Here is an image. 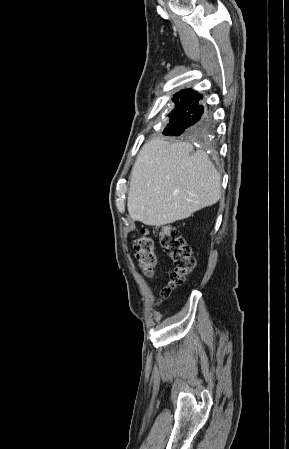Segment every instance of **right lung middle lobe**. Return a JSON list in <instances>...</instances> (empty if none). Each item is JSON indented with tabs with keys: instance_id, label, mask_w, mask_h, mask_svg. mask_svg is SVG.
Listing matches in <instances>:
<instances>
[{
	"instance_id": "obj_1",
	"label": "right lung middle lobe",
	"mask_w": 289,
	"mask_h": 449,
	"mask_svg": "<svg viewBox=\"0 0 289 449\" xmlns=\"http://www.w3.org/2000/svg\"><path fill=\"white\" fill-rule=\"evenodd\" d=\"M170 117H171V113L169 114V118H170ZM163 134H164V135H172V134L169 133L168 127H166V128L164 129ZM173 136H174V135H173Z\"/></svg>"
}]
</instances>
